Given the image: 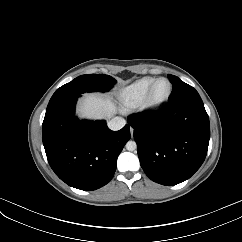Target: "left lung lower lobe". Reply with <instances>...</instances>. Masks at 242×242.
I'll list each match as a JSON object with an SVG mask.
<instances>
[{
	"label": "left lung lower lobe",
	"instance_id": "obj_1",
	"mask_svg": "<svg viewBox=\"0 0 242 242\" xmlns=\"http://www.w3.org/2000/svg\"><path fill=\"white\" fill-rule=\"evenodd\" d=\"M127 121L134 129L141 167L151 180L176 185L190 178L205 160L210 126L200 96L130 115Z\"/></svg>",
	"mask_w": 242,
	"mask_h": 242
}]
</instances>
